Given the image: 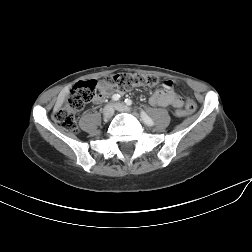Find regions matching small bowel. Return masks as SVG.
I'll return each mask as SVG.
<instances>
[{
	"mask_svg": "<svg viewBox=\"0 0 252 252\" xmlns=\"http://www.w3.org/2000/svg\"><path fill=\"white\" fill-rule=\"evenodd\" d=\"M169 82H172V81H169ZM98 89H99V94L94 99V103H97V104L103 102L105 98L109 97L111 94L114 93V90L110 87H107L103 83V81H100L98 83ZM149 102L153 106L163 107V108H167V107L181 108L183 106V100L174 91V86H168L166 84H164V89L157 90L151 95Z\"/></svg>",
	"mask_w": 252,
	"mask_h": 252,
	"instance_id": "obj_1",
	"label": "small bowel"
}]
</instances>
